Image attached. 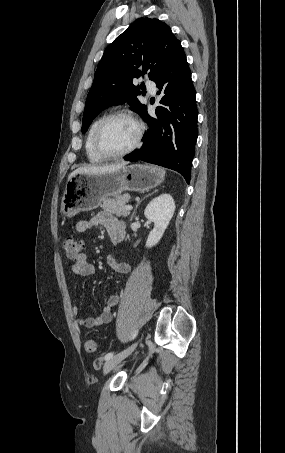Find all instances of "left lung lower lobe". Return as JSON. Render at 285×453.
Wrapping results in <instances>:
<instances>
[{"label": "left lung lower lobe", "mask_w": 285, "mask_h": 453, "mask_svg": "<svg viewBox=\"0 0 285 453\" xmlns=\"http://www.w3.org/2000/svg\"><path fill=\"white\" fill-rule=\"evenodd\" d=\"M162 98L156 115L147 108L142 117L149 126L139 150L124 156L127 161L142 160L179 172L189 183L191 163L198 136L196 92L181 43L169 54L161 71L153 79Z\"/></svg>", "instance_id": "0a47b994"}]
</instances>
